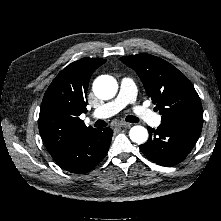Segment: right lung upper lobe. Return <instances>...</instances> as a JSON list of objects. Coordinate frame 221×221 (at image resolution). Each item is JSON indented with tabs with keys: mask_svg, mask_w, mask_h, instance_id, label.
Returning <instances> with one entry per match:
<instances>
[{
	"mask_svg": "<svg viewBox=\"0 0 221 221\" xmlns=\"http://www.w3.org/2000/svg\"><path fill=\"white\" fill-rule=\"evenodd\" d=\"M105 62L101 58L75 61L65 67L47 89L40 108L39 132L53 158L94 130L79 116L87 112L91 75Z\"/></svg>",
	"mask_w": 221,
	"mask_h": 221,
	"instance_id": "obj_1",
	"label": "right lung upper lobe"
}]
</instances>
